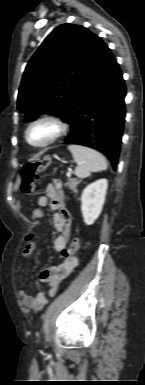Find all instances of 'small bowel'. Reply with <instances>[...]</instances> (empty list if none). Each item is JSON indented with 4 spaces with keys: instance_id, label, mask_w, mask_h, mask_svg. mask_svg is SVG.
I'll list each match as a JSON object with an SVG mask.
<instances>
[{
    "instance_id": "obj_1",
    "label": "small bowel",
    "mask_w": 145,
    "mask_h": 385,
    "mask_svg": "<svg viewBox=\"0 0 145 385\" xmlns=\"http://www.w3.org/2000/svg\"><path fill=\"white\" fill-rule=\"evenodd\" d=\"M37 203L42 208L49 206L54 211L53 222L57 236L53 242V248L60 252L67 246L71 227L70 214L65 206L61 183L54 180L48 184L45 195L40 196ZM73 269L74 264L70 260H64L57 266L42 270L40 279L48 284V291L32 294L28 289H21L19 297L23 307L34 312L40 311L48 303V295H55L60 284Z\"/></svg>"
}]
</instances>
